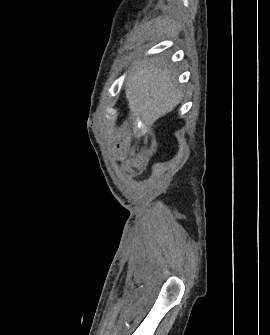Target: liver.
<instances>
[{
  "label": "liver",
  "mask_w": 270,
  "mask_h": 335,
  "mask_svg": "<svg viewBox=\"0 0 270 335\" xmlns=\"http://www.w3.org/2000/svg\"><path fill=\"white\" fill-rule=\"evenodd\" d=\"M126 98L135 116H141L148 126L172 112L182 100L176 82L166 68L150 58L144 60L126 82Z\"/></svg>",
  "instance_id": "obj_1"
}]
</instances>
